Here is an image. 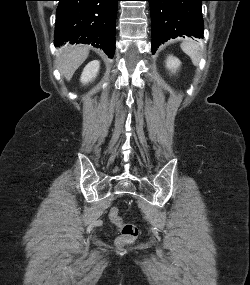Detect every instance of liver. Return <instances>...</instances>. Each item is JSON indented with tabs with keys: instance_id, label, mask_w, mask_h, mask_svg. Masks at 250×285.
Instances as JSON below:
<instances>
[{
	"instance_id": "1",
	"label": "liver",
	"mask_w": 250,
	"mask_h": 285,
	"mask_svg": "<svg viewBox=\"0 0 250 285\" xmlns=\"http://www.w3.org/2000/svg\"><path fill=\"white\" fill-rule=\"evenodd\" d=\"M89 47L86 45H64L59 50L58 67L69 81L79 66L87 59Z\"/></svg>"
}]
</instances>
